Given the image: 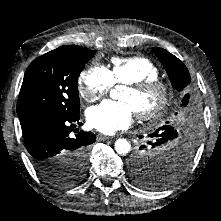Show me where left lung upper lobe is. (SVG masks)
Returning a JSON list of instances; mask_svg holds the SVG:
<instances>
[{
  "mask_svg": "<svg viewBox=\"0 0 221 221\" xmlns=\"http://www.w3.org/2000/svg\"><path fill=\"white\" fill-rule=\"evenodd\" d=\"M154 53L164 65L166 72L170 78L172 86L177 91L186 92L182 98L181 107H186L189 103L190 94L188 93L191 77L187 67L177 57L166 51L165 49L156 47ZM190 111H186V113ZM176 115L178 113H175ZM168 123V122H167ZM168 128V130H175L169 125H164L158 128L153 134H151L152 141L148 144L151 146V150L145 149V151H138L132 157L137 162L131 165L130 162V174L132 180L139 186L147 189H159L163 188L174 181H176L185 171L187 164L190 160V154L188 151L178 152L180 145L175 150L164 153V155L158 156L154 154V151L165 144L168 141L173 140L178 136L177 133H172L174 137L165 138L163 135H159L162 130ZM145 148L144 146H142ZM142 148H140L141 150Z\"/></svg>",
  "mask_w": 221,
  "mask_h": 221,
  "instance_id": "left-lung-upper-lobe-1",
  "label": "left lung upper lobe"
}]
</instances>
